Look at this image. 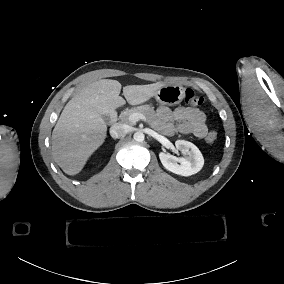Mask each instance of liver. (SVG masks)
Instances as JSON below:
<instances>
[{
    "instance_id": "1",
    "label": "liver",
    "mask_w": 284,
    "mask_h": 284,
    "mask_svg": "<svg viewBox=\"0 0 284 284\" xmlns=\"http://www.w3.org/2000/svg\"><path fill=\"white\" fill-rule=\"evenodd\" d=\"M164 83L128 85L123 95L130 106L147 103ZM117 80L102 79L82 87L62 110L52 132V156L69 176L82 172L91 156L105 143L109 116L126 102Z\"/></svg>"
}]
</instances>
